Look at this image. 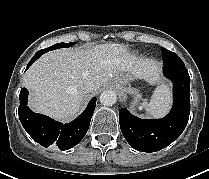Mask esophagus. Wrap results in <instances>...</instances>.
<instances>
[{"label": "esophagus", "mask_w": 209, "mask_h": 179, "mask_svg": "<svg viewBox=\"0 0 209 179\" xmlns=\"http://www.w3.org/2000/svg\"><path fill=\"white\" fill-rule=\"evenodd\" d=\"M118 97H119V99H120V100H122V101H123V100H125V99H126V97H127V96H126V94H125V93H120Z\"/></svg>", "instance_id": "obj_1"}]
</instances>
